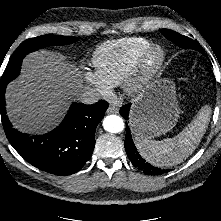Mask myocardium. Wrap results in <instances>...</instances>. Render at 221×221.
<instances>
[{
    "label": "myocardium",
    "mask_w": 221,
    "mask_h": 221,
    "mask_svg": "<svg viewBox=\"0 0 221 221\" xmlns=\"http://www.w3.org/2000/svg\"><path fill=\"white\" fill-rule=\"evenodd\" d=\"M166 59L164 48L151 44L138 57L130 73L123 82V89L130 97L139 96L158 76Z\"/></svg>",
    "instance_id": "f54148a6"
}]
</instances>
